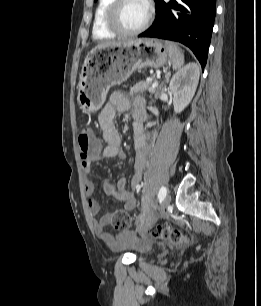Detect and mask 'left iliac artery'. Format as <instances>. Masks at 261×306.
<instances>
[{
	"mask_svg": "<svg viewBox=\"0 0 261 306\" xmlns=\"http://www.w3.org/2000/svg\"><path fill=\"white\" fill-rule=\"evenodd\" d=\"M167 194V189L166 187L162 186L159 190V193H158V198L161 199V198H164Z\"/></svg>",
	"mask_w": 261,
	"mask_h": 306,
	"instance_id": "1",
	"label": "left iliac artery"
}]
</instances>
